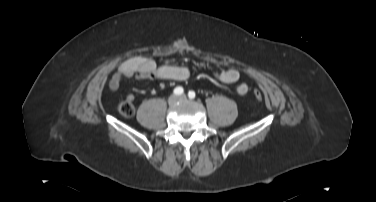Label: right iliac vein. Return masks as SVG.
<instances>
[{"label": "right iliac vein", "mask_w": 376, "mask_h": 202, "mask_svg": "<svg viewBox=\"0 0 376 202\" xmlns=\"http://www.w3.org/2000/svg\"><path fill=\"white\" fill-rule=\"evenodd\" d=\"M177 96L176 95H171L169 98H168V103L169 105H174L177 101Z\"/></svg>", "instance_id": "obj_1"}]
</instances>
